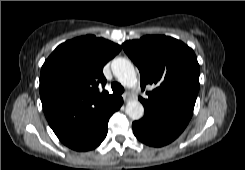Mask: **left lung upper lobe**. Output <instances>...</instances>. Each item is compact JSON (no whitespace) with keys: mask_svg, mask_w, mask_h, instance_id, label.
I'll return each mask as SVG.
<instances>
[{"mask_svg":"<svg viewBox=\"0 0 245 170\" xmlns=\"http://www.w3.org/2000/svg\"><path fill=\"white\" fill-rule=\"evenodd\" d=\"M124 51L139 68L141 88L155 89L148 98H139L144 107H152L190 120L199 90V64L194 51L168 36H144L126 41Z\"/></svg>","mask_w":245,"mask_h":170,"instance_id":"obj_1","label":"left lung upper lobe"}]
</instances>
